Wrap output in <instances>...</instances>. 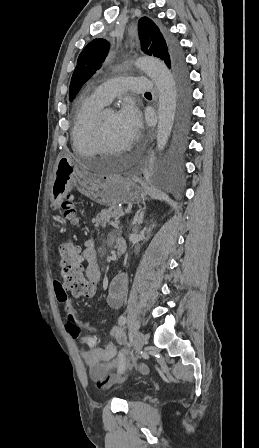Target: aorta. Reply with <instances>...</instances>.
<instances>
[{
  "mask_svg": "<svg viewBox=\"0 0 259 448\" xmlns=\"http://www.w3.org/2000/svg\"><path fill=\"white\" fill-rule=\"evenodd\" d=\"M136 65L155 83L158 89L157 149L163 150L171 135L174 124L177 91L174 78L167 66L157 58L142 57Z\"/></svg>",
  "mask_w": 259,
  "mask_h": 448,
  "instance_id": "1",
  "label": "aorta"
}]
</instances>
